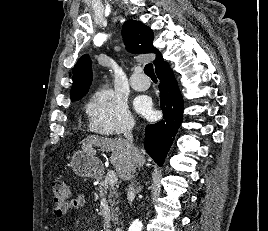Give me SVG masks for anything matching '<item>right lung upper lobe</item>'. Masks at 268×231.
<instances>
[{"instance_id": "right-lung-upper-lobe-1", "label": "right lung upper lobe", "mask_w": 268, "mask_h": 231, "mask_svg": "<svg viewBox=\"0 0 268 231\" xmlns=\"http://www.w3.org/2000/svg\"><path fill=\"white\" fill-rule=\"evenodd\" d=\"M122 35L127 49L132 53H155V70L167 64L159 52L153 46V31L140 21L128 20L123 24ZM92 82L91 59L88 55H83L78 59L73 69V85L70 91L72 101L79 100L87 92Z\"/></svg>"}]
</instances>
